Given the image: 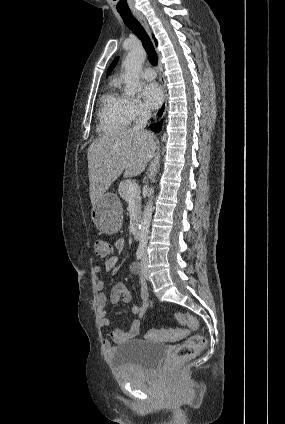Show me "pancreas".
<instances>
[{
	"label": "pancreas",
	"instance_id": "obj_1",
	"mask_svg": "<svg viewBox=\"0 0 285 424\" xmlns=\"http://www.w3.org/2000/svg\"><path fill=\"white\" fill-rule=\"evenodd\" d=\"M131 183V181H122L119 185L118 188V193L119 195L122 197L123 200H125L126 202L129 201L130 196L128 195V186ZM134 201L136 204V214L139 215L140 211H141V196H140V192H137L134 195Z\"/></svg>",
	"mask_w": 285,
	"mask_h": 424
}]
</instances>
